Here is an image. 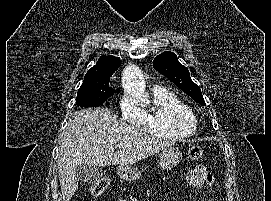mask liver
<instances>
[{"label":"liver","mask_w":271,"mask_h":201,"mask_svg":"<svg viewBox=\"0 0 271 201\" xmlns=\"http://www.w3.org/2000/svg\"><path fill=\"white\" fill-rule=\"evenodd\" d=\"M172 144L123 122L107 108L74 112L61 138L58 157L63 201H69L78 189L76 169L79 165L134 164ZM117 145L119 150L114 151Z\"/></svg>","instance_id":"1"}]
</instances>
